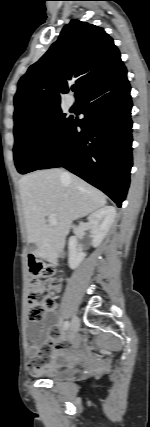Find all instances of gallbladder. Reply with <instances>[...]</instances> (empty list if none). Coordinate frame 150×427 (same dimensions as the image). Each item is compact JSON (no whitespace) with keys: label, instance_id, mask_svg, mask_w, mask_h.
I'll list each match as a JSON object with an SVG mask.
<instances>
[{"label":"gallbladder","instance_id":"1","mask_svg":"<svg viewBox=\"0 0 150 427\" xmlns=\"http://www.w3.org/2000/svg\"><path fill=\"white\" fill-rule=\"evenodd\" d=\"M31 248L34 250V249H36V248H37V246H36L35 244H32V245H31Z\"/></svg>","mask_w":150,"mask_h":427}]
</instances>
